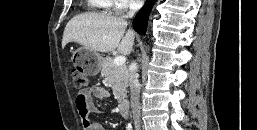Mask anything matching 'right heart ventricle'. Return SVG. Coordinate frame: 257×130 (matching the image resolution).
Returning a JSON list of instances; mask_svg holds the SVG:
<instances>
[{
    "instance_id": "e07e8e85",
    "label": "right heart ventricle",
    "mask_w": 257,
    "mask_h": 130,
    "mask_svg": "<svg viewBox=\"0 0 257 130\" xmlns=\"http://www.w3.org/2000/svg\"><path fill=\"white\" fill-rule=\"evenodd\" d=\"M89 6L96 10H107L112 8L111 0H87Z\"/></svg>"
}]
</instances>
